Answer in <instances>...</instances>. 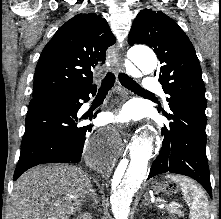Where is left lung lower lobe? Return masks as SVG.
Instances as JSON below:
<instances>
[{
    "label": "left lung lower lobe",
    "instance_id": "obj_1",
    "mask_svg": "<svg viewBox=\"0 0 221 219\" xmlns=\"http://www.w3.org/2000/svg\"><path fill=\"white\" fill-rule=\"evenodd\" d=\"M165 116L172 120L162 129L163 144L148 176L171 172L198 181L212 197L209 167L206 158L207 118L205 113L185 105L172 104Z\"/></svg>",
    "mask_w": 221,
    "mask_h": 219
}]
</instances>
